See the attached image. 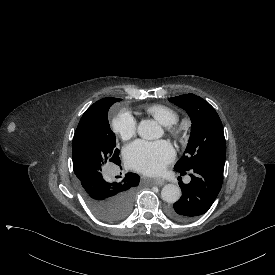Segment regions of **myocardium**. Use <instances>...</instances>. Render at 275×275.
Segmentation results:
<instances>
[{
	"instance_id": "1",
	"label": "myocardium",
	"mask_w": 275,
	"mask_h": 275,
	"mask_svg": "<svg viewBox=\"0 0 275 275\" xmlns=\"http://www.w3.org/2000/svg\"><path fill=\"white\" fill-rule=\"evenodd\" d=\"M167 131L173 137H177L180 134V130L177 127L168 128Z\"/></svg>"
}]
</instances>
